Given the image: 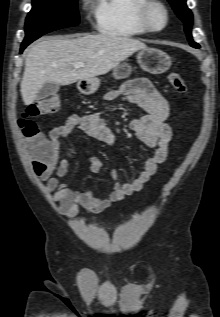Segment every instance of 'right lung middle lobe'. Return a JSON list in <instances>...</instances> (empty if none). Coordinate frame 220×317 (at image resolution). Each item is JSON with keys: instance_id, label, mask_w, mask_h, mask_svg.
Returning <instances> with one entry per match:
<instances>
[{"instance_id": "obj_1", "label": "right lung middle lobe", "mask_w": 220, "mask_h": 317, "mask_svg": "<svg viewBox=\"0 0 220 317\" xmlns=\"http://www.w3.org/2000/svg\"><path fill=\"white\" fill-rule=\"evenodd\" d=\"M78 0H32L23 42L34 41L41 35L79 23Z\"/></svg>"}]
</instances>
